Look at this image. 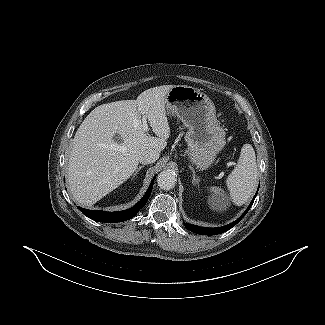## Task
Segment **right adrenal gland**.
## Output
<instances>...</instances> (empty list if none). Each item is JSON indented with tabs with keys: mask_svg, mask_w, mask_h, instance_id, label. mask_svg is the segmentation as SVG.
Masks as SVG:
<instances>
[{
	"mask_svg": "<svg viewBox=\"0 0 325 325\" xmlns=\"http://www.w3.org/2000/svg\"><path fill=\"white\" fill-rule=\"evenodd\" d=\"M143 167H144V166H139V167L137 168V170H136V172L134 173L132 179L135 178V176L139 173V171H140Z\"/></svg>",
	"mask_w": 325,
	"mask_h": 325,
	"instance_id": "1",
	"label": "right adrenal gland"
}]
</instances>
